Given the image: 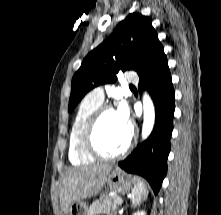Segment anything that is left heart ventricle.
Here are the masks:
<instances>
[{
	"mask_svg": "<svg viewBox=\"0 0 221 215\" xmlns=\"http://www.w3.org/2000/svg\"><path fill=\"white\" fill-rule=\"evenodd\" d=\"M130 137V128L123 125L116 111L106 113L99 122L96 131V144L107 154H114L122 150Z\"/></svg>",
	"mask_w": 221,
	"mask_h": 215,
	"instance_id": "b2bd125f",
	"label": "left heart ventricle"
}]
</instances>
